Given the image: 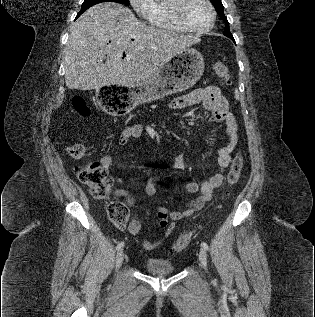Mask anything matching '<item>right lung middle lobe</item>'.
Here are the masks:
<instances>
[{
    "label": "right lung middle lobe",
    "instance_id": "dd1d6c3e",
    "mask_svg": "<svg viewBox=\"0 0 315 317\" xmlns=\"http://www.w3.org/2000/svg\"><path fill=\"white\" fill-rule=\"evenodd\" d=\"M101 2H116V3H120V4H125V5H129V0H84L83 4H82V8L80 13L78 14V16L83 13L84 11H86L88 8H90L91 6L101 3Z\"/></svg>",
    "mask_w": 315,
    "mask_h": 317
}]
</instances>
